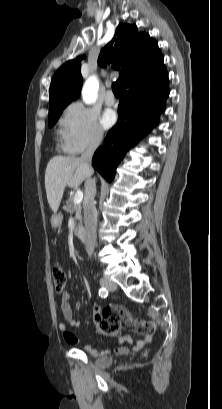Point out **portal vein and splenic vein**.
Here are the masks:
<instances>
[{
    "mask_svg": "<svg viewBox=\"0 0 222 409\" xmlns=\"http://www.w3.org/2000/svg\"><path fill=\"white\" fill-rule=\"evenodd\" d=\"M83 199V192L82 191H76L75 196H74V203L79 204Z\"/></svg>",
    "mask_w": 222,
    "mask_h": 409,
    "instance_id": "1",
    "label": "portal vein and splenic vein"
}]
</instances>
